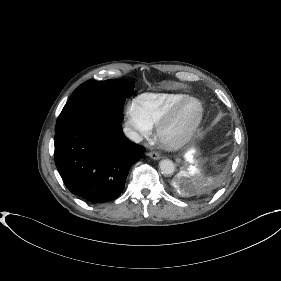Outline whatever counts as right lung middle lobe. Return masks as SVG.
<instances>
[{
  "instance_id": "1",
  "label": "right lung middle lobe",
  "mask_w": 281,
  "mask_h": 281,
  "mask_svg": "<svg viewBox=\"0 0 281 281\" xmlns=\"http://www.w3.org/2000/svg\"><path fill=\"white\" fill-rule=\"evenodd\" d=\"M134 85L124 80L86 81L74 90L55 130L78 122H122L125 99Z\"/></svg>"
}]
</instances>
